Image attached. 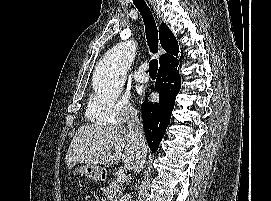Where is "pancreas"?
<instances>
[{
  "label": "pancreas",
  "instance_id": "obj_1",
  "mask_svg": "<svg viewBox=\"0 0 271 201\" xmlns=\"http://www.w3.org/2000/svg\"><path fill=\"white\" fill-rule=\"evenodd\" d=\"M122 190V185L112 180L109 186L103 190V201H118L122 195Z\"/></svg>",
  "mask_w": 271,
  "mask_h": 201
}]
</instances>
